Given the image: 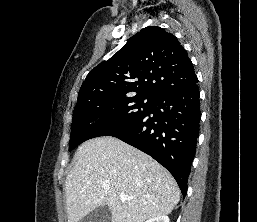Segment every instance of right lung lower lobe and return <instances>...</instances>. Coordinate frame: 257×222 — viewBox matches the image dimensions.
<instances>
[{
    "label": "right lung lower lobe",
    "instance_id": "obj_1",
    "mask_svg": "<svg viewBox=\"0 0 257 222\" xmlns=\"http://www.w3.org/2000/svg\"><path fill=\"white\" fill-rule=\"evenodd\" d=\"M198 79L155 98L152 110L131 127L113 135L153 157L177 181L183 196L199 136Z\"/></svg>",
    "mask_w": 257,
    "mask_h": 222
}]
</instances>
